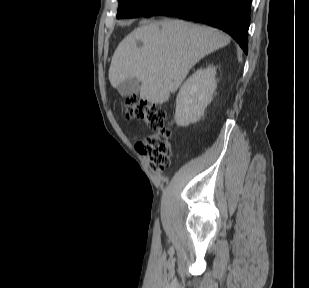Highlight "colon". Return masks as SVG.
Instances as JSON below:
<instances>
[{"instance_id": "obj_1", "label": "colon", "mask_w": 309, "mask_h": 288, "mask_svg": "<svg viewBox=\"0 0 309 288\" xmlns=\"http://www.w3.org/2000/svg\"><path fill=\"white\" fill-rule=\"evenodd\" d=\"M124 114L129 119H140L152 130L137 143V150L147 157L154 171H164L170 165L172 153L171 131L165 126L166 111L154 102L130 96L124 104Z\"/></svg>"}]
</instances>
